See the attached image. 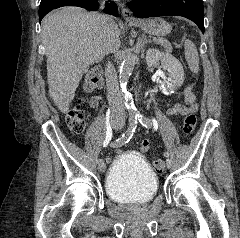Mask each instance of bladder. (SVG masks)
Segmentation results:
<instances>
[{"instance_id":"obj_1","label":"bladder","mask_w":240,"mask_h":238,"mask_svg":"<svg viewBox=\"0 0 240 238\" xmlns=\"http://www.w3.org/2000/svg\"><path fill=\"white\" fill-rule=\"evenodd\" d=\"M106 193L121 204H145L157 194L159 179L144 157L132 151L119 155L106 176Z\"/></svg>"}]
</instances>
